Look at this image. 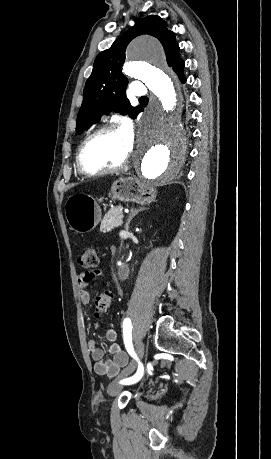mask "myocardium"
Returning a JSON list of instances; mask_svg holds the SVG:
<instances>
[{
  "label": "myocardium",
  "instance_id": "1",
  "mask_svg": "<svg viewBox=\"0 0 271 459\" xmlns=\"http://www.w3.org/2000/svg\"><path fill=\"white\" fill-rule=\"evenodd\" d=\"M117 131H121L120 125L117 122H110V123L104 124V125L96 128L95 130L90 132L82 140V142L80 143V145H79V147L77 149L75 159H76V165H77L78 169L83 174L88 175V176H94V175H98V174H102V173L114 172V171L120 170L121 168H123L129 162V160H130V158L132 156V152H133L132 149L130 150V152L123 159H121L120 161L115 162V163L105 164V165H101V166L92 168V167H88L84 162V159H83L84 148H85L86 144L92 138H94L95 136H97L99 134L105 133V132H117Z\"/></svg>",
  "mask_w": 271,
  "mask_h": 459
}]
</instances>
